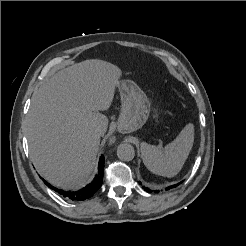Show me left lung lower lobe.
Instances as JSON below:
<instances>
[{
	"mask_svg": "<svg viewBox=\"0 0 246 246\" xmlns=\"http://www.w3.org/2000/svg\"><path fill=\"white\" fill-rule=\"evenodd\" d=\"M181 183V182H180ZM180 183H178V184H175V185H172V186H169V187H167L166 188V190H169V189H171V188H174V187H177ZM143 189L145 190V191H147V192H152V190H150L149 188H147V187H143ZM155 192H159V191H155Z\"/></svg>",
	"mask_w": 246,
	"mask_h": 246,
	"instance_id": "left-lung-lower-lobe-1",
	"label": "left lung lower lobe"
}]
</instances>
